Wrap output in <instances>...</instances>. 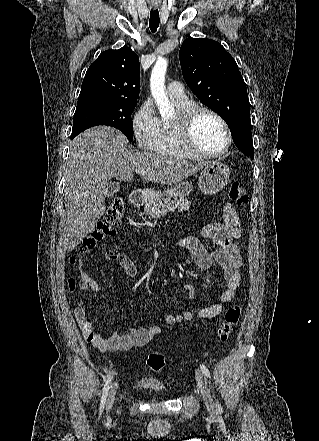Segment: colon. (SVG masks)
Masks as SVG:
<instances>
[{
    "label": "colon",
    "mask_w": 319,
    "mask_h": 441,
    "mask_svg": "<svg viewBox=\"0 0 319 441\" xmlns=\"http://www.w3.org/2000/svg\"><path fill=\"white\" fill-rule=\"evenodd\" d=\"M229 198L238 206H243L248 202L246 191L237 181L230 184ZM124 202L121 198L116 197L109 205L104 218L98 223L93 233L87 237L79 251V255L97 247L103 243L108 237L115 234L116 227L120 224L121 218L124 214ZM76 256L70 257V262L75 263ZM70 290L75 288V282L70 279L68 282ZM242 309L239 305L230 307L225 314L224 321L216 330L215 343H225L231 336L235 326L237 325L241 316ZM146 363L152 371H160L164 367V357L160 353H152L148 355Z\"/></svg>",
    "instance_id": "colon-1"
}]
</instances>
